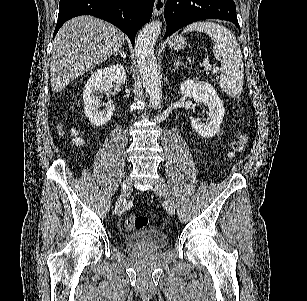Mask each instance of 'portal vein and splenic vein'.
<instances>
[{
	"instance_id": "1",
	"label": "portal vein and splenic vein",
	"mask_w": 307,
	"mask_h": 301,
	"mask_svg": "<svg viewBox=\"0 0 307 301\" xmlns=\"http://www.w3.org/2000/svg\"><path fill=\"white\" fill-rule=\"evenodd\" d=\"M203 66H204V70H209V68H211V66H214V64H210L209 60H204V62H202ZM215 68H217V66H215Z\"/></svg>"
}]
</instances>
